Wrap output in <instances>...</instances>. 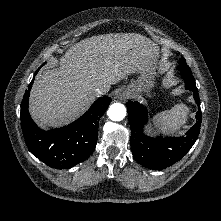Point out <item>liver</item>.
<instances>
[{
    "instance_id": "obj_1",
    "label": "liver",
    "mask_w": 221,
    "mask_h": 221,
    "mask_svg": "<svg viewBox=\"0 0 221 221\" xmlns=\"http://www.w3.org/2000/svg\"><path fill=\"white\" fill-rule=\"evenodd\" d=\"M155 43L136 33H111L71 46L59 67L36 77L29 111L41 127H57L79 117L96 98L127 75L151 69Z\"/></svg>"
}]
</instances>
